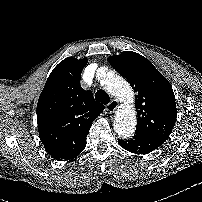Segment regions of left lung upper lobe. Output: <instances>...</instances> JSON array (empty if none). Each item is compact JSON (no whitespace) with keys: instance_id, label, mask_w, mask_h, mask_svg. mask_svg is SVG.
<instances>
[{"instance_id":"1","label":"left lung upper lobe","mask_w":202,"mask_h":202,"mask_svg":"<svg viewBox=\"0 0 202 202\" xmlns=\"http://www.w3.org/2000/svg\"><path fill=\"white\" fill-rule=\"evenodd\" d=\"M110 64L137 92L136 134L167 139L176 122L175 96L169 81L142 55L124 51L111 56Z\"/></svg>"}]
</instances>
